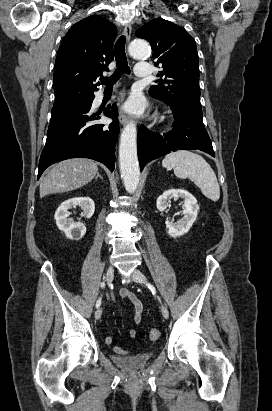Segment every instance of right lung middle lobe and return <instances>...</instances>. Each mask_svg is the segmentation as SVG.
<instances>
[{
    "instance_id": "1",
    "label": "right lung middle lobe",
    "mask_w": 272,
    "mask_h": 411,
    "mask_svg": "<svg viewBox=\"0 0 272 411\" xmlns=\"http://www.w3.org/2000/svg\"><path fill=\"white\" fill-rule=\"evenodd\" d=\"M92 96L93 95H88L84 93L76 94L74 97L70 98L69 100H66L62 103L54 104L51 114L59 113L67 109H70L74 106H77L79 104H82L84 102H87L92 98Z\"/></svg>"
}]
</instances>
